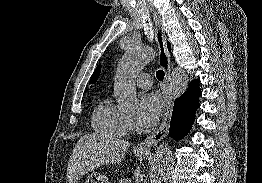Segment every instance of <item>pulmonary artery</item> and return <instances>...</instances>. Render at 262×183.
<instances>
[{"label":"pulmonary artery","instance_id":"pulmonary-artery-1","mask_svg":"<svg viewBox=\"0 0 262 183\" xmlns=\"http://www.w3.org/2000/svg\"><path fill=\"white\" fill-rule=\"evenodd\" d=\"M136 84L141 88H150L152 86V77L147 73L140 74L136 78Z\"/></svg>","mask_w":262,"mask_h":183}]
</instances>
